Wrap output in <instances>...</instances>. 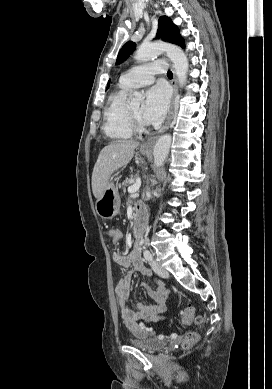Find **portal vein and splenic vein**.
<instances>
[{
  "mask_svg": "<svg viewBox=\"0 0 272 389\" xmlns=\"http://www.w3.org/2000/svg\"><path fill=\"white\" fill-rule=\"evenodd\" d=\"M140 186H141V179L137 178L136 182L133 185L128 187V192L135 193L139 190Z\"/></svg>",
  "mask_w": 272,
  "mask_h": 389,
  "instance_id": "obj_1",
  "label": "portal vein and splenic vein"
}]
</instances>
